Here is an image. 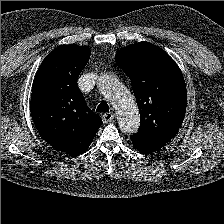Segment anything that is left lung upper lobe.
Masks as SVG:
<instances>
[{
  "label": "left lung upper lobe",
  "mask_w": 224,
  "mask_h": 224,
  "mask_svg": "<svg viewBox=\"0 0 224 224\" xmlns=\"http://www.w3.org/2000/svg\"><path fill=\"white\" fill-rule=\"evenodd\" d=\"M115 61L132 83L140 112L138 131L166 144L186 112L187 92L180 68L163 49L148 42L121 49Z\"/></svg>",
  "instance_id": "left-lung-upper-lobe-1"
}]
</instances>
